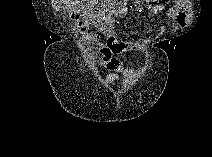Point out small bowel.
<instances>
[{
  "mask_svg": "<svg viewBox=\"0 0 212 157\" xmlns=\"http://www.w3.org/2000/svg\"><path fill=\"white\" fill-rule=\"evenodd\" d=\"M170 0H158L151 4L153 13H160L166 9ZM54 7L66 12L75 23L78 32L94 43L101 55L98 64L104 66L109 73L104 79L106 85L120 81L122 86L128 85L137 75L136 70L126 66L118 56L135 50L139 43L120 41L115 35V19L127 13L125 0H57ZM133 8L140 11L144 3L135 0ZM169 20L183 26L188 21V5L186 1L177 0L166 10ZM99 31L95 34L91 28Z\"/></svg>",
  "mask_w": 212,
  "mask_h": 157,
  "instance_id": "small-bowel-1",
  "label": "small bowel"
}]
</instances>
